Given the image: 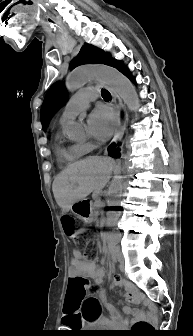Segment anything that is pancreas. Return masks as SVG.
<instances>
[{
    "label": "pancreas",
    "instance_id": "1",
    "mask_svg": "<svg viewBox=\"0 0 193 336\" xmlns=\"http://www.w3.org/2000/svg\"><path fill=\"white\" fill-rule=\"evenodd\" d=\"M103 209V206L101 203L95 202L93 205V211L95 212V219L97 222L101 221V215L99 214V211Z\"/></svg>",
    "mask_w": 193,
    "mask_h": 336
}]
</instances>
